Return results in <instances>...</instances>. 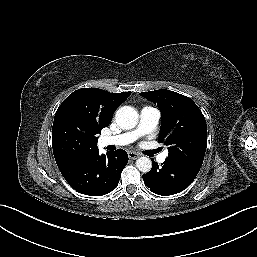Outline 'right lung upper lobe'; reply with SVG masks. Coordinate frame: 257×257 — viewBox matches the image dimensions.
Listing matches in <instances>:
<instances>
[{
    "instance_id": "obj_1",
    "label": "right lung upper lobe",
    "mask_w": 257,
    "mask_h": 257,
    "mask_svg": "<svg viewBox=\"0 0 257 257\" xmlns=\"http://www.w3.org/2000/svg\"><path fill=\"white\" fill-rule=\"evenodd\" d=\"M130 94L98 88H82L71 93L54 117L52 146L56 163L98 149L96 134L110 124L113 113Z\"/></svg>"
}]
</instances>
